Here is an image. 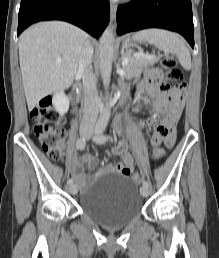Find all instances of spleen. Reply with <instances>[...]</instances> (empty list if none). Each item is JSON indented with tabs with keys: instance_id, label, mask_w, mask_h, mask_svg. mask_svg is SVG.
Instances as JSON below:
<instances>
[{
	"instance_id": "spleen-1",
	"label": "spleen",
	"mask_w": 219,
	"mask_h": 258,
	"mask_svg": "<svg viewBox=\"0 0 219 258\" xmlns=\"http://www.w3.org/2000/svg\"><path fill=\"white\" fill-rule=\"evenodd\" d=\"M132 39L134 41H147L164 51L175 54L184 69L191 68L190 52L176 33L163 29H145L136 32Z\"/></svg>"
}]
</instances>
